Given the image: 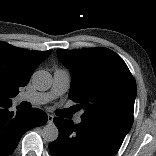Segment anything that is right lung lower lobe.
Masks as SVG:
<instances>
[{"label": "right lung lower lobe", "mask_w": 156, "mask_h": 156, "mask_svg": "<svg viewBox=\"0 0 156 156\" xmlns=\"http://www.w3.org/2000/svg\"><path fill=\"white\" fill-rule=\"evenodd\" d=\"M11 106L0 107V156L10 155L27 130L43 125L48 120L46 113L40 109L24 110L19 107L13 113L8 110Z\"/></svg>", "instance_id": "right-lung-lower-lobe-1"}]
</instances>
